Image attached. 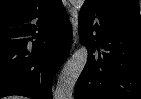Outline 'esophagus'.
<instances>
[{
	"instance_id": "esophagus-1",
	"label": "esophagus",
	"mask_w": 141,
	"mask_h": 99,
	"mask_svg": "<svg viewBox=\"0 0 141 99\" xmlns=\"http://www.w3.org/2000/svg\"><path fill=\"white\" fill-rule=\"evenodd\" d=\"M70 21L73 28V40L76 42V27H77V11L74 8L69 9Z\"/></svg>"
}]
</instances>
